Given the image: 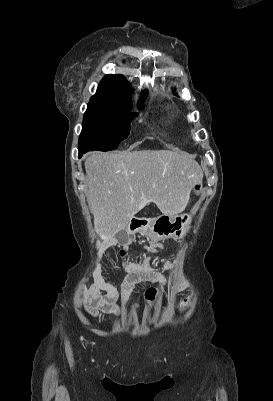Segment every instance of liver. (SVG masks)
<instances>
[{
	"mask_svg": "<svg viewBox=\"0 0 273 401\" xmlns=\"http://www.w3.org/2000/svg\"><path fill=\"white\" fill-rule=\"evenodd\" d=\"M86 196L101 241H115L130 219L155 203L163 215L185 211L190 192L203 178L193 154L184 150L93 152L85 160Z\"/></svg>",
	"mask_w": 273,
	"mask_h": 401,
	"instance_id": "6515ba94",
	"label": "liver"
}]
</instances>
